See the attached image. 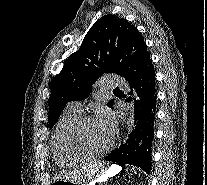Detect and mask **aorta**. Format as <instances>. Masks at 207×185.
Returning a JSON list of instances; mask_svg holds the SVG:
<instances>
[{
    "mask_svg": "<svg viewBox=\"0 0 207 185\" xmlns=\"http://www.w3.org/2000/svg\"><path fill=\"white\" fill-rule=\"evenodd\" d=\"M124 129L128 136L134 129V105L130 104L128 107L127 115L124 119Z\"/></svg>",
    "mask_w": 207,
    "mask_h": 185,
    "instance_id": "obj_1",
    "label": "aorta"
}]
</instances>
